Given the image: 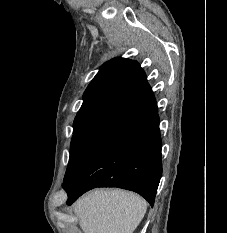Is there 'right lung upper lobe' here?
I'll use <instances>...</instances> for the list:
<instances>
[{"mask_svg": "<svg viewBox=\"0 0 227 233\" xmlns=\"http://www.w3.org/2000/svg\"><path fill=\"white\" fill-rule=\"evenodd\" d=\"M73 133L120 135L157 114L146 74L133 60L114 58L103 64L83 95Z\"/></svg>", "mask_w": 227, "mask_h": 233, "instance_id": "obj_1", "label": "right lung upper lobe"}]
</instances>
